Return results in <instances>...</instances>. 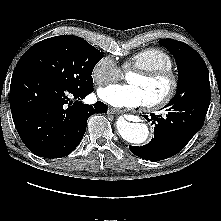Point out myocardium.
Wrapping results in <instances>:
<instances>
[{
	"mask_svg": "<svg viewBox=\"0 0 221 221\" xmlns=\"http://www.w3.org/2000/svg\"><path fill=\"white\" fill-rule=\"evenodd\" d=\"M132 73L138 74L147 79L165 78L169 81V89L163 97L156 101L144 104L145 108L148 110H158L167 106L173 100L178 91L179 78L172 69H134Z\"/></svg>",
	"mask_w": 221,
	"mask_h": 221,
	"instance_id": "myocardium-1",
	"label": "myocardium"
}]
</instances>
